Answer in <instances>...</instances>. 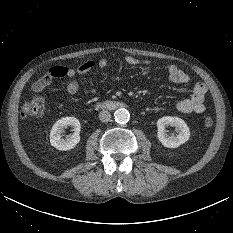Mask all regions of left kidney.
<instances>
[{
	"label": "left kidney",
	"mask_w": 233,
	"mask_h": 233,
	"mask_svg": "<svg viewBox=\"0 0 233 233\" xmlns=\"http://www.w3.org/2000/svg\"><path fill=\"white\" fill-rule=\"evenodd\" d=\"M173 126L178 135H168L166 133V126ZM157 137L161 144L167 148H177L181 144L189 140L190 130L187 124L178 117L164 116L157 121Z\"/></svg>",
	"instance_id": "5707ae66"
}]
</instances>
